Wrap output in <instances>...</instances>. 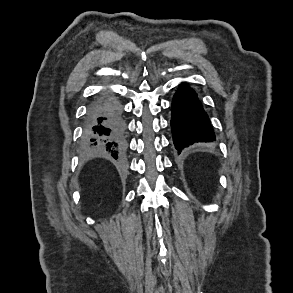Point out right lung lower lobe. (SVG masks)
Masks as SVG:
<instances>
[{
    "label": "right lung lower lobe",
    "instance_id": "right-lung-lower-lobe-1",
    "mask_svg": "<svg viewBox=\"0 0 293 293\" xmlns=\"http://www.w3.org/2000/svg\"><path fill=\"white\" fill-rule=\"evenodd\" d=\"M126 124L120 104L110 97H99L88 108L84 139L86 143L111 153L115 159L125 148Z\"/></svg>",
    "mask_w": 293,
    "mask_h": 293
}]
</instances>
